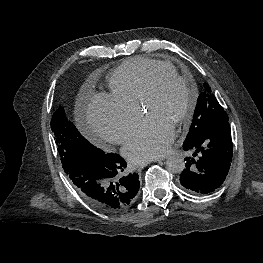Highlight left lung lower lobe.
I'll return each mask as SVG.
<instances>
[{"label": "left lung lower lobe", "mask_w": 263, "mask_h": 263, "mask_svg": "<svg viewBox=\"0 0 263 263\" xmlns=\"http://www.w3.org/2000/svg\"><path fill=\"white\" fill-rule=\"evenodd\" d=\"M183 149L194 151L186 157V168L180 175V183L189 192L208 194L220 187L232 161L233 144L228 120L219 121L200 137L184 141Z\"/></svg>", "instance_id": "obj_1"}]
</instances>
